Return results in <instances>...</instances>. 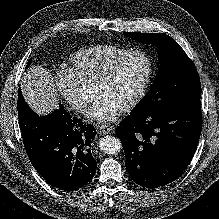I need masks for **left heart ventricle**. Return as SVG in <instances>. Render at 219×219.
Wrapping results in <instances>:
<instances>
[{"mask_svg":"<svg viewBox=\"0 0 219 219\" xmlns=\"http://www.w3.org/2000/svg\"><path fill=\"white\" fill-rule=\"evenodd\" d=\"M147 70V63L141 56L128 58L109 79L96 83V94L105 96L119 106L129 103L138 92Z\"/></svg>","mask_w":219,"mask_h":219,"instance_id":"obj_1","label":"left heart ventricle"}]
</instances>
